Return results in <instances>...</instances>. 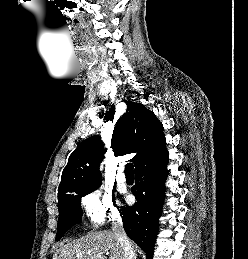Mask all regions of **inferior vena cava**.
Instances as JSON below:
<instances>
[{
    "instance_id": "1",
    "label": "inferior vena cava",
    "mask_w": 248,
    "mask_h": 259,
    "mask_svg": "<svg viewBox=\"0 0 248 259\" xmlns=\"http://www.w3.org/2000/svg\"><path fill=\"white\" fill-rule=\"evenodd\" d=\"M112 230L123 248L124 259H136L133 246L124 231L120 215H116L114 217V221L112 223Z\"/></svg>"
}]
</instances>
